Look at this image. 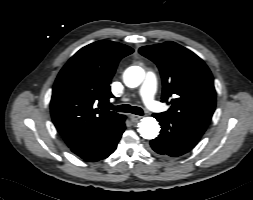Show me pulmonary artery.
I'll use <instances>...</instances> for the list:
<instances>
[{
	"label": "pulmonary artery",
	"instance_id": "obj_1",
	"mask_svg": "<svg viewBox=\"0 0 253 200\" xmlns=\"http://www.w3.org/2000/svg\"><path fill=\"white\" fill-rule=\"evenodd\" d=\"M157 89V79L153 72H148L145 81L140 89V96L145 105L153 111L159 109V104L155 100V93Z\"/></svg>",
	"mask_w": 253,
	"mask_h": 200
}]
</instances>
